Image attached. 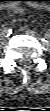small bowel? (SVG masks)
I'll return each mask as SVG.
<instances>
[{
	"mask_svg": "<svg viewBox=\"0 0 50 111\" xmlns=\"http://www.w3.org/2000/svg\"><path fill=\"white\" fill-rule=\"evenodd\" d=\"M13 11H14V13H16V14H23L24 12H25V10H24V8L23 7H15L14 9H13Z\"/></svg>",
	"mask_w": 50,
	"mask_h": 111,
	"instance_id": "1",
	"label": "small bowel"
}]
</instances>
